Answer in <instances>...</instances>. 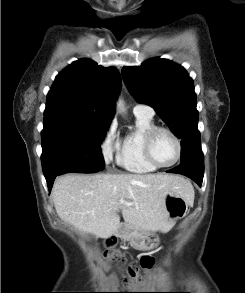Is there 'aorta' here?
<instances>
[{
  "label": "aorta",
  "mask_w": 245,
  "mask_h": 293,
  "mask_svg": "<svg viewBox=\"0 0 245 293\" xmlns=\"http://www.w3.org/2000/svg\"><path fill=\"white\" fill-rule=\"evenodd\" d=\"M117 107H118L120 110H122V111L124 110V105H123V103L120 102V101L117 103Z\"/></svg>",
  "instance_id": "aorta-1"
}]
</instances>
